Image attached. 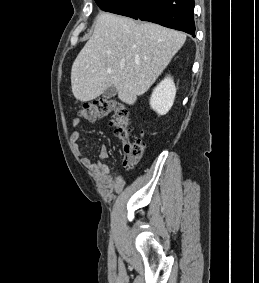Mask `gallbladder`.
I'll list each match as a JSON object with an SVG mask.
<instances>
[{
	"label": "gallbladder",
	"mask_w": 259,
	"mask_h": 283,
	"mask_svg": "<svg viewBox=\"0 0 259 283\" xmlns=\"http://www.w3.org/2000/svg\"><path fill=\"white\" fill-rule=\"evenodd\" d=\"M117 94V89L115 86H111L109 88H107L104 92H103V97L105 99H110L112 97H114Z\"/></svg>",
	"instance_id": "gallbladder-1"
}]
</instances>
